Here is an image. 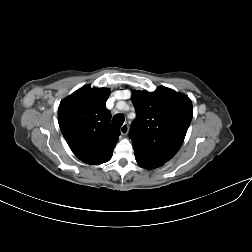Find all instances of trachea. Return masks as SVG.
<instances>
[{
	"instance_id": "trachea-1",
	"label": "trachea",
	"mask_w": 252,
	"mask_h": 252,
	"mask_svg": "<svg viewBox=\"0 0 252 252\" xmlns=\"http://www.w3.org/2000/svg\"><path fill=\"white\" fill-rule=\"evenodd\" d=\"M112 123L120 127L124 123V116L121 114H116L113 116Z\"/></svg>"
}]
</instances>
